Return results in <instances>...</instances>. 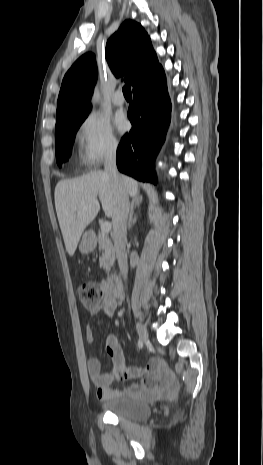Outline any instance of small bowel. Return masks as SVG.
<instances>
[{
    "label": "small bowel",
    "mask_w": 263,
    "mask_h": 465,
    "mask_svg": "<svg viewBox=\"0 0 263 465\" xmlns=\"http://www.w3.org/2000/svg\"><path fill=\"white\" fill-rule=\"evenodd\" d=\"M117 307V297L111 290L103 301L96 307L90 308L92 316L102 313L106 317L114 314ZM86 340L92 343L95 338L92 325L86 327ZM106 353L110 357L113 370L103 373L101 362L94 356H89L87 369L92 384L96 387L97 396L101 400L120 397L123 395L136 396L144 399H158L173 396L175 393L174 378L171 371L158 359H151L144 367H127L123 350L116 337L109 336L106 340ZM140 378L139 384L125 389L114 388L116 380Z\"/></svg>",
    "instance_id": "1"
}]
</instances>
